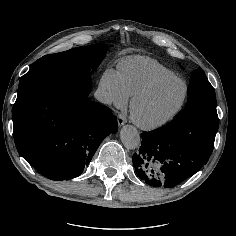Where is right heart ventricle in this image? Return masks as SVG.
I'll use <instances>...</instances> for the list:
<instances>
[{"label": "right heart ventricle", "mask_w": 236, "mask_h": 236, "mask_svg": "<svg viewBox=\"0 0 236 236\" xmlns=\"http://www.w3.org/2000/svg\"><path fill=\"white\" fill-rule=\"evenodd\" d=\"M117 68L129 96H133L153 80L175 76L171 69L159 61L143 55H130L121 58Z\"/></svg>", "instance_id": "e07e8e85"}]
</instances>
